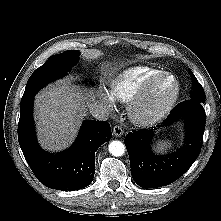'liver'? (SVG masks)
<instances>
[{
	"label": "liver",
	"mask_w": 221,
	"mask_h": 221,
	"mask_svg": "<svg viewBox=\"0 0 221 221\" xmlns=\"http://www.w3.org/2000/svg\"><path fill=\"white\" fill-rule=\"evenodd\" d=\"M94 101L92 93L82 95L80 89L60 80L36 95L35 121L39 142L45 149L58 151L74 140L85 115L84 100Z\"/></svg>",
	"instance_id": "6515ba94"
}]
</instances>
